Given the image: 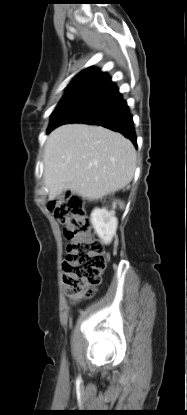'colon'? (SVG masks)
<instances>
[{"label":"colon","instance_id":"colon-1","mask_svg":"<svg viewBox=\"0 0 187 415\" xmlns=\"http://www.w3.org/2000/svg\"><path fill=\"white\" fill-rule=\"evenodd\" d=\"M55 218L64 225L68 240L63 262V282L68 295L79 300L92 294L106 267L102 244L93 237L81 196L67 193L51 204Z\"/></svg>","mask_w":187,"mask_h":415}]
</instances>
